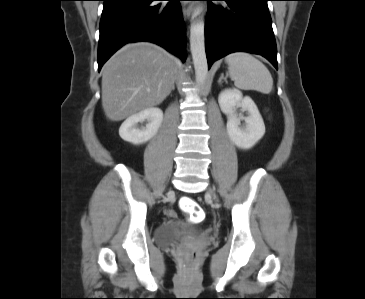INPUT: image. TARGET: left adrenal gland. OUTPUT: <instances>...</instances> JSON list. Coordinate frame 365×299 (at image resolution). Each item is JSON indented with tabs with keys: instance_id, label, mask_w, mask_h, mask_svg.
Instances as JSON below:
<instances>
[{
	"instance_id": "a2214340",
	"label": "left adrenal gland",
	"mask_w": 365,
	"mask_h": 299,
	"mask_svg": "<svg viewBox=\"0 0 365 299\" xmlns=\"http://www.w3.org/2000/svg\"><path fill=\"white\" fill-rule=\"evenodd\" d=\"M222 80H224L225 82H227L226 78H224V74L222 73L219 80H218V84H222Z\"/></svg>"
}]
</instances>
